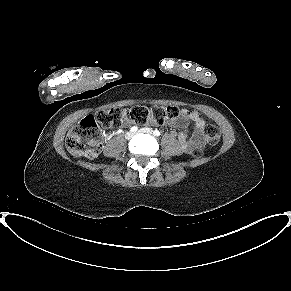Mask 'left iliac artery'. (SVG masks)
Masks as SVG:
<instances>
[{
  "mask_svg": "<svg viewBox=\"0 0 291 291\" xmlns=\"http://www.w3.org/2000/svg\"><path fill=\"white\" fill-rule=\"evenodd\" d=\"M153 134H154L155 136H160V132H159L158 130H154Z\"/></svg>",
  "mask_w": 291,
  "mask_h": 291,
  "instance_id": "left-iliac-artery-1",
  "label": "left iliac artery"
}]
</instances>
